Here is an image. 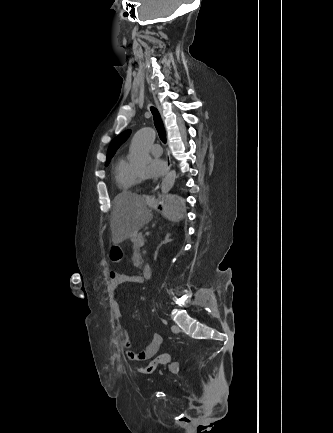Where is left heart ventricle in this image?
<instances>
[{"instance_id":"left-heart-ventricle-1","label":"left heart ventricle","mask_w":333,"mask_h":433,"mask_svg":"<svg viewBox=\"0 0 333 433\" xmlns=\"http://www.w3.org/2000/svg\"><path fill=\"white\" fill-rule=\"evenodd\" d=\"M144 169H145V166H144V165H142V166H137V170L140 171V172H143Z\"/></svg>"}]
</instances>
